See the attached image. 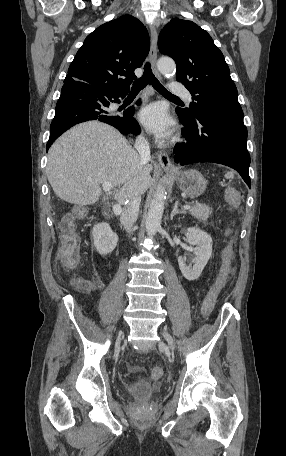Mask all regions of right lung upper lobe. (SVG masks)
Listing matches in <instances>:
<instances>
[{
    "label": "right lung upper lobe",
    "instance_id": "right-lung-upper-lobe-1",
    "mask_svg": "<svg viewBox=\"0 0 286 456\" xmlns=\"http://www.w3.org/2000/svg\"><path fill=\"white\" fill-rule=\"evenodd\" d=\"M150 49L146 28L131 15L99 26L88 35L68 69L64 82H80L100 92L128 93L134 70Z\"/></svg>",
    "mask_w": 286,
    "mask_h": 456
}]
</instances>
